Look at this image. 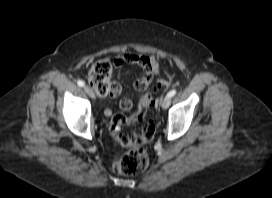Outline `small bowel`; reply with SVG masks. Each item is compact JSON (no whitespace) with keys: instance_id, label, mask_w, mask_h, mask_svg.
<instances>
[{"instance_id":"obj_1","label":"small bowel","mask_w":272,"mask_h":198,"mask_svg":"<svg viewBox=\"0 0 272 198\" xmlns=\"http://www.w3.org/2000/svg\"><path fill=\"white\" fill-rule=\"evenodd\" d=\"M124 63H129V64H134L137 65L145 70L144 74L138 78L139 79H144L146 77L153 78L154 76L159 74L160 71V66L158 61H156L153 58H150L146 55L143 54H136V53H123L121 54L116 60H115V65L116 66H121ZM136 80V81H137ZM135 81V82H136ZM135 85V83H134ZM136 87V86H135ZM137 88V87H136ZM138 89V88H137ZM141 90V89H139ZM121 93V86L117 82H113L112 85V94L108 95L110 98H116L119 94ZM119 106L122 110L128 111L132 107V101L129 98H123ZM112 109L110 107H107L104 110V113L106 116H111L112 115Z\"/></svg>"}]
</instances>
